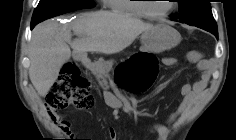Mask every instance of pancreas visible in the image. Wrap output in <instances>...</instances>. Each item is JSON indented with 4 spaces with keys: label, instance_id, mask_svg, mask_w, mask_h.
<instances>
[{
    "label": "pancreas",
    "instance_id": "cf45deb5",
    "mask_svg": "<svg viewBox=\"0 0 236 140\" xmlns=\"http://www.w3.org/2000/svg\"><path fill=\"white\" fill-rule=\"evenodd\" d=\"M112 66V61L103 60H99L92 65L91 71L100 84L107 85V79L109 78V72Z\"/></svg>",
    "mask_w": 236,
    "mask_h": 140
}]
</instances>
